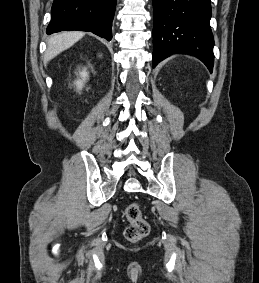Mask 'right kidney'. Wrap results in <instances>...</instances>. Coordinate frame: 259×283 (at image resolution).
I'll list each match as a JSON object with an SVG mask.
<instances>
[{
	"label": "right kidney",
	"instance_id": "ca27d5eb",
	"mask_svg": "<svg viewBox=\"0 0 259 283\" xmlns=\"http://www.w3.org/2000/svg\"><path fill=\"white\" fill-rule=\"evenodd\" d=\"M81 79L75 81V85L77 87V90H81L82 87L84 86L85 81L88 78V73L86 71V68H84L80 73H79Z\"/></svg>",
	"mask_w": 259,
	"mask_h": 283
}]
</instances>
